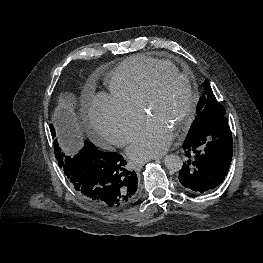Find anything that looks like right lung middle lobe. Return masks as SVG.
I'll return each instance as SVG.
<instances>
[{
	"label": "right lung middle lobe",
	"mask_w": 263,
	"mask_h": 263,
	"mask_svg": "<svg viewBox=\"0 0 263 263\" xmlns=\"http://www.w3.org/2000/svg\"><path fill=\"white\" fill-rule=\"evenodd\" d=\"M50 131H51V134H52V138L54 140L55 157H56V159H57V161L59 163V166L63 170L64 166L66 165V163L71 158L72 152L67 150V148H66V140L61 137L60 132H58L56 134L55 128H54V126L52 124H50ZM92 147H95V146L92 143L85 141V145H84V147L82 149H84V148H92Z\"/></svg>",
	"instance_id": "dd1d6c3e"
}]
</instances>
